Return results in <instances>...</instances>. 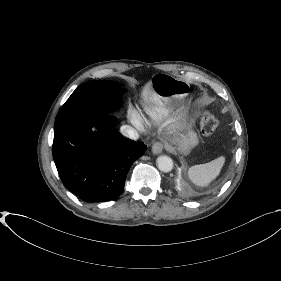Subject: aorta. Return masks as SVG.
<instances>
[{
    "label": "aorta",
    "instance_id": "1",
    "mask_svg": "<svg viewBox=\"0 0 281 281\" xmlns=\"http://www.w3.org/2000/svg\"><path fill=\"white\" fill-rule=\"evenodd\" d=\"M157 167L162 172H170L173 169V161L168 156H159L157 158Z\"/></svg>",
    "mask_w": 281,
    "mask_h": 281
}]
</instances>
